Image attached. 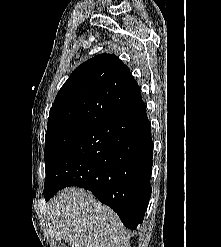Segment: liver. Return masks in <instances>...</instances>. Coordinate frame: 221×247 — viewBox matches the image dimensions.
<instances>
[{
    "label": "liver",
    "instance_id": "liver-1",
    "mask_svg": "<svg viewBox=\"0 0 221 247\" xmlns=\"http://www.w3.org/2000/svg\"><path fill=\"white\" fill-rule=\"evenodd\" d=\"M47 215L71 247H129L118 216L84 189H63L47 203Z\"/></svg>",
    "mask_w": 221,
    "mask_h": 247
}]
</instances>
